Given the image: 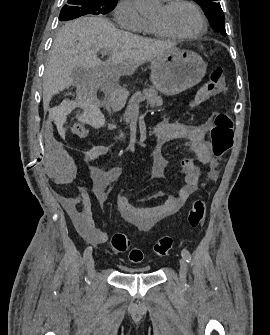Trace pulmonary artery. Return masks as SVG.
Returning <instances> with one entry per match:
<instances>
[{
  "instance_id": "obj_1",
  "label": "pulmonary artery",
  "mask_w": 270,
  "mask_h": 335,
  "mask_svg": "<svg viewBox=\"0 0 270 335\" xmlns=\"http://www.w3.org/2000/svg\"><path fill=\"white\" fill-rule=\"evenodd\" d=\"M172 0H163V2H166V3H169L171 2Z\"/></svg>"
}]
</instances>
